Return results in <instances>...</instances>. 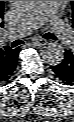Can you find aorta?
I'll list each match as a JSON object with an SVG mask.
<instances>
[{
  "mask_svg": "<svg viewBox=\"0 0 74 122\" xmlns=\"http://www.w3.org/2000/svg\"><path fill=\"white\" fill-rule=\"evenodd\" d=\"M38 3L39 1H11L12 7L18 12L30 11L35 8ZM64 53V49L60 44L50 42L43 47L42 58L48 65H58L63 61L65 57Z\"/></svg>",
  "mask_w": 74,
  "mask_h": 122,
  "instance_id": "aorta-1",
  "label": "aorta"
}]
</instances>
